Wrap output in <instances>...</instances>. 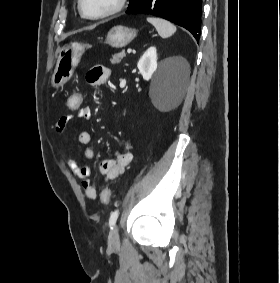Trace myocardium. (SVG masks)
<instances>
[{"instance_id":"f54148a6","label":"myocardium","mask_w":280,"mask_h":283,"mask_svg":"<svg viewBox=\"0 0 280 283\" xmlns=\"http://www.w3.org/2000/svg\"><path fill=\"white\" fill-rule=\"evenodd\" d=\"M127 1L128 0H118L116 5L112 9L104 13L98 14V15H89L85 12L83 8V0H78V10L80 14L82 15V17L87 20H101V19H105V18L114 16L118 14L119 12H121L125 8Z\"/></svg>"}]
</instances>
